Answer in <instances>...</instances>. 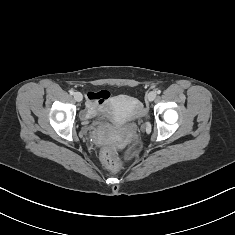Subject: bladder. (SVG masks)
Instances as JSON below:
<instances>
[{"label": "bladder", "mask_w": 235, "mask_h": 235, "mask_svg": "<svg viewBox=\"0 0 235 235\" xmlns=\"http://www.w3.org/2000/svg\"><path fill=\"white\" fill-rule=\"evenodd\" d=\"M127 100L129 101L128 103H136L133 98L123 96L117 97L110 102H101L97 109V115L101 119L115 122L117 120L116 109L121 102H126Z\"/></svg>", "instance_id": "bladder-1"}]
</instances>
